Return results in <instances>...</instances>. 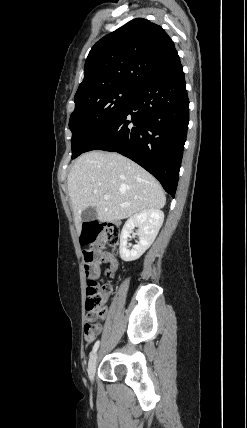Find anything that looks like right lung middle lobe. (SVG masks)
I'll return each mask as SVG.
<instances>
[{"label": "right lung middle lobe", "instance_id": "obj_1", "mask_svg": "<svg viewBox=\"0 0 247 428\" xmlns=\"http://www.w3.org/2000/svg\"><path fill=\"white\" fill-rule=\"evenodd\" d=\"M137 89L115 86L74 97L70 116L72 159L76 158L126 109Z\"/></svg>", "mask_w": 247, "mask_h": 428}]
</instances>
